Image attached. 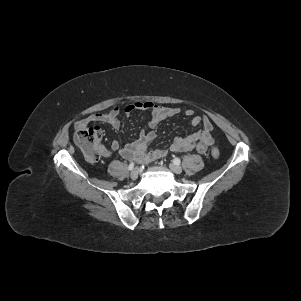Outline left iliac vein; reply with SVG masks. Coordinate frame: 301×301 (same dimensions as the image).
Returning <instances> with one entry per match:
<instances>
[{"instance_id": "1", "label": "left iliac vein", "mask_w": 301, "mask_h": 301, "mask_svg": "<svg viewBox=\"0 0 301 301\" xmlns=\"http://www.w3.org/2000/svg\"><path fill=\"white\" fill-rule=\"evenodd\" d=\"M170 169H171L175 174H181V172H182L181 166L176 165V164H173V163L170 164Z\"/></svg>"}]
</instances>
